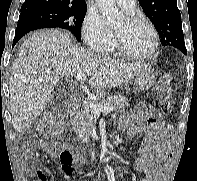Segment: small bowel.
Instances as JSON below:
<instances>
[{"mask_svg":"<svg viewBox=\"0 0 197 181\" xmlns=\"http://www.w3.org/2000/svg\"><path fill=\"white\" fill-rule=\"evenodd\" d=\"M120 126L129 136L138 134L141 130L147 129L142 144L140 156L135 168L142 174L140 181H165L166 160L172 151L173 133L160 120L158 112L147 104L138 106L131 115H123ZM69 149V145L63 146ZM44 148L50 154H55L58 148L56 143L45 144ZM38 153H31V159H37ZM74 163L80 164L81 159L74 158Z\"/></svg>","mask_w":197,"mask_h":181,"instance_id":"1","label":"small bowel"}]
</instances>
